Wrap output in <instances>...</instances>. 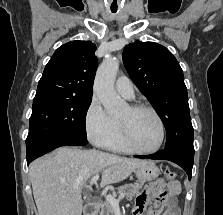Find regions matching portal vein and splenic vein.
Returning a JSON list of instances; mask_svg holds the SVG:
<instances>
[{
  "mask_svg": "<svg viewBox=\"0 0 223 215\" xmlns=\"http://www.w3.org/2000/svg\"><path fill=\"white\" fill-rule=\"evenodd\" d=\"M100 175H93V177H91V181H90V185H92V183H96L97 179H99ZM119 199H116V197H112V195H106V199L107 201H109L110 205H112V207H120L119 205V201L120 198L125 196V192H122V194L120 193L119 195Z\"/></svg>",
  "mask_w": 223,
  "mask_h": 215,
  "instance_id": "obj_1",
  "label": "portal vein and splenic vein"
}]
</instances>
